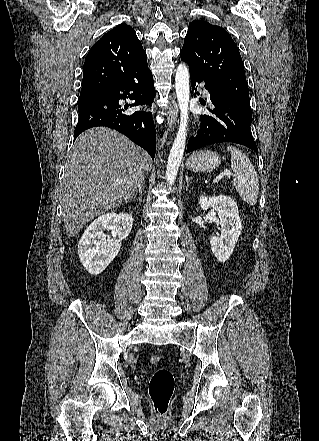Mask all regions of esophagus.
Wrapping results in <instances>:
<instances>
[{
	"label": "esophagus",
	"instance_id": "esophagus-1",
	"mask_svg": "<svg viewBox=\"0 0 319 441\" xmlns=\"http://www.w3.org/2000/svg\"><path fill=\"white\" fill-rule=\"evenodd\" d=\"M177 117H178V105L175 101H173L168 107V111H167V128L169 130H172L174 128V125H176Z\"/></svg>",
	"mask_w": 319,
	"mask_h": 441
}]
</instances>
